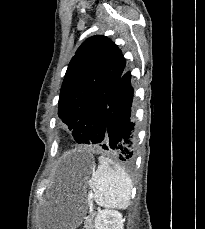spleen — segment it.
Returning a JSON list of instances; mask_svg holds the SVG:
<instances>
[{
    "label": "spleen",
    "instance_id": "spleen-1",
    "mask_svg": "<svg viewBox=\"0 0 205 229\" xmlns=\"http://www.w3.org/2000/svg\"><path fill=\"white\" fill-rule=\"evenodd\" d=\"M111 161L99 157V165L88 181L93 190L92 198L102 207L126 209L130 203L132 180L120 167H112Z\"/></svg>",
    "mask_w": 205,
    "mask_h": 229
}]
</instances>
